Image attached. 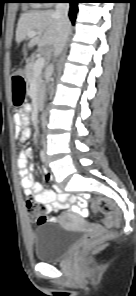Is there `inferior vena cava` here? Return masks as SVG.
<instances>
[{
    "mask_svg": "<svg viewBox=\"0 0 136 296\" xmlns=\"http://www.w3.org/2000/svg\"><path fill=\"white\" fill-rule=\"evenodd\" d=\"M68 12H69V3H57L56 4V10L55 15L60 19L61 21V29L59 32L58 39L54 45V57H58L60 53L62 52L70 32V21L68 18ZM53 72V64H50L45 72V78L46 82L49 81L51 75ZM42 121V127L45 129L46 126V115L45 113L41 116Z\"/></svg>",
    "mask_w": 136,
    "mask_h": 296,
    "instance_id": "obj_1",
    "label": "inferior vena cava"
}]
</instances>
